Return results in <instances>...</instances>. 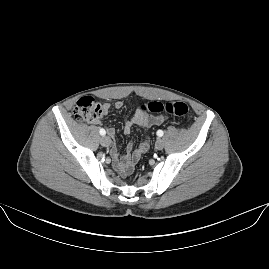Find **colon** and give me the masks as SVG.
Instances as JSON below:
<instances>
[{
  "label": "colon",
  "mask_w": 269,
  "mask_h": 269,
  "mask_svg": "<svg viewBox=\"0 0 269 269\" xmlns=\"http://www.w3.org/2000/svg\"><path fill=\"white\" fill-rule=\"evenodd\" d=\"M140 109L158 114L166 113L177 117H186L190 114L187 104L181 101L152 102L148 105H141ZM73 114L79 122H89L101 118L103 110L98 101L92 97L85 96L77 101ZM130 169L131 167L127 166L124 171L129 172Z\"/></svg>",
  "instance_id": "5ec220e1"
}]
</instances>
